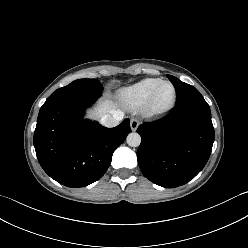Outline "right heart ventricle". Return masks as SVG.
Here are the masks:
<instances>
[{"mask_svg":"<svg viewBox=\"0 0 248 248\" xmlns=\"http://www.w3.org/2000/svg\"><path fill=\"white\" fill-rule=\"evenodd\" d=\"M159 78H145L120 91V100L130 108H138L145 104L153 89L161 82Z\"/></svg>","mask_w":248,"mask_h":248,"instance_id":"obj_1","label":"right heart ventricle"}]
</instances>
